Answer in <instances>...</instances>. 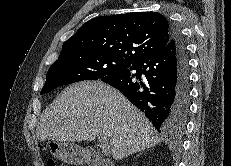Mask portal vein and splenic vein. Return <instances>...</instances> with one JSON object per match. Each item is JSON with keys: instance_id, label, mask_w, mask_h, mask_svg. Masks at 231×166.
I'll use <instances>...</instances> for the list:
<instances>
[{"instance_id": "18ae733b", "label": "portal vein and splenic vein", "mask_w": 231, "mask_h": 166, "mask_svg": "<svg viewBox=\"0 0 231 166\" xmlns=\"http://www.w3.org/2000/svg\"><path fill=\"white\" fill-rule=\"evenodd\" d=\"M98 141H99V145L102 149V153L104 155H109L110 154V145H109L108 138L103 136V135H98Z\"/></svg>"}]
</instances>
